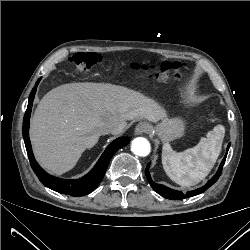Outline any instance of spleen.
<instances>
[{
    "instance_id": "3e777b00",
    "label": "spleen",
    "mask_w": 250,
    "mask_h": 250,
    "mask_svg": "<svg viewBox=\"0 0 250 250\" xmlns=\"http://www.w3.org/2000/svg\"><path fill=\"white\" fill-rule=\"evenodd\" d=\"M224 127L216 126L193 148L176 152L170 144L163 145L162 164L171 180L181 186H193L213 168L221 151Z\"/></svg>"
}]
</instances>
